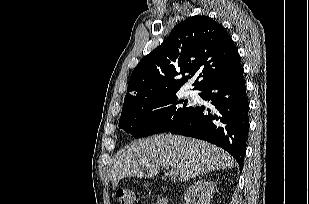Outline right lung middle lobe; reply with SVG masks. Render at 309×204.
Listing matches in <instances>:
<instances>
[{"label": "right lung middle lobe", "instance_id": "1", "mask_svg": "<svg viewBox=\"0 0 309 204\" xmlns=\"http://www.w3.org/2000/svg\"><path fill=\"white\" fill-rule=\"evenodd\" d=\"M183 103V105H179ZM192 108L188 100H180L176 92L124 101L119 128L135 138L169 131Z\"/></svg>", "mask_w": 309, "mask_h": 204}]
</instances>
